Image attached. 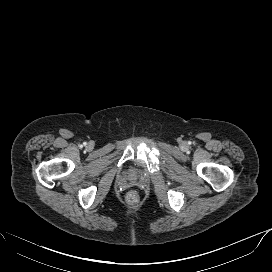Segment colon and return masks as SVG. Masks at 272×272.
<instances>
[{
    "label": "colon",
    "mask_w": 272,
    "mask_h": 272,
    "mask_svg": "<svg viewBox=\"0 0 272 272\" xmlns=\"http://www.w3.org/2000/svg\"><path fill=\"white\" fill-rule=\"evenodd\" d=\"M126 200L130 204H135L139 200V195L136 191H129L126 196Z\"/></svg>",
    "instance_id": "1"
}]
</instances>
